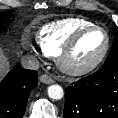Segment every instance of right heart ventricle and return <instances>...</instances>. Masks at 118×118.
<instances>
[{
    "label": "right heart ventricle",
    "instance_id": "obj_1",
    "mask_svg": "<svg viewBox=\"0 0 118 118\" xmlns=\"http://www.w3.org/2000/svg\"><path fill=\"white\" fill-rule=\"evenodd\" d=\"M94 25L85 18H66L44 25L36 36L41 52L47 57H56L70 38L80 29Z\"/></svg>",
    "mask_w": 118,
    "mask_h": 118
}]
</instances>
